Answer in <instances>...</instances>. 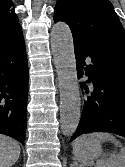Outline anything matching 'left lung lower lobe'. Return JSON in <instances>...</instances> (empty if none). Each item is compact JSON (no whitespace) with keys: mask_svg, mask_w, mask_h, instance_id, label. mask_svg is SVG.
<instances>
[{"mask_svg":"<svg viewBox=\"0 0 125 167\" xmlns=\"http://www.w3.org/2000/svg\"><path fill=\"white\" fill-rule=\"evenodd\" d=\"M78 78L88 76L91 96L84 100L79 125L71 138L91 132L125 137V51L111 43L85 46L74 42ZM86 57L90 60L85 62ZM81 87L89 92L85 83Z\"/></svg>","mask_w":125,"mask_h":167,"instance_id":"left-lung-lower-lobe-1","label":"left lung lower lobe"}]
</instances>
